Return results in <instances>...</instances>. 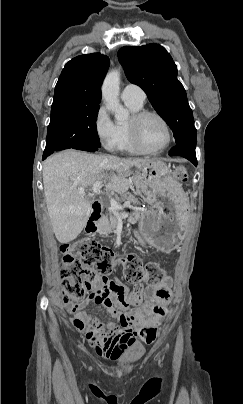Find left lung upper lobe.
Masks as SVG:
<instances>
[{"label":"left lung upper lobe","instance_id":"5c2ea615","mask_svg":"<svg viewBox=\"0 0 243 404\" xmlns=\"http://www.w3.org/2000/svg\"><path fill=\"white\" fill-rule=\"evenodd\" d=\"M128 80L140 86L156 112L173 131L176 145H196L197 133L177 66L164 47L125 46L118 51Z\"/></svg>","mask_w":243,"mask_h":404}]
</instances>
